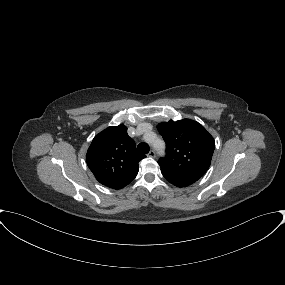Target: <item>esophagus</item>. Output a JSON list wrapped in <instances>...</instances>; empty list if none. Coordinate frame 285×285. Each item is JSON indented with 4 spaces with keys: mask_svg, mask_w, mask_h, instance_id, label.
Returning a JSON list of instances; mask_svg holds the SVG:
<instances>
[{
    "mask_svg": "<svg viewBox=\"0 0 285 285\" xmlns=\"http://www.w3.org/2000/svg\"><path fill=\"white\" fill-rule=\"evenodd\" d=\"M155 151L154 150H150V152L148 153V156L149 157H152V158H154L155 157Z\"/></svg>",
    "mask_w": 285,
    "mask_h": 285,
    "instance_id": "obj_1",
    "label": "esophagus"
}]
</instances>
